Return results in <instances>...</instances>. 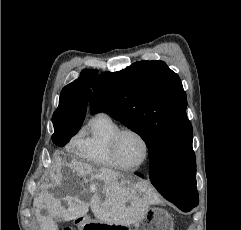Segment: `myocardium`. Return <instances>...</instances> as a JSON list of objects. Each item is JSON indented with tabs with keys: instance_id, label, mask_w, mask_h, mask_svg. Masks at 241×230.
I'll list each match as a JSON object with an SVG mask.
<instances>
[{
	"instance_id": "myocardium-1",
	"label": "myocardium",
	"mask_w": 241,
	"mask_h": 230,
	"mask_svg": "<svg viewBox=\"0 0 241 230\" xmlns=\"http://www.w3.org/2000/svg\"><path fill=\"white\" fill-rule=\"evenodd\" d=\"M126 133H132L136 135L144 144L145 147V155L143 160L136 164V165H126L122 162H120L118 158V145L121 137ZM110 154L112 157V160L114 161L115 165L121 169L125 170H136L141 168L149 159L150 156V145L146 137L138 130L131 128V127H123L119 128L112 136L110 140Z\"/></svg>"
}]
</instances>
